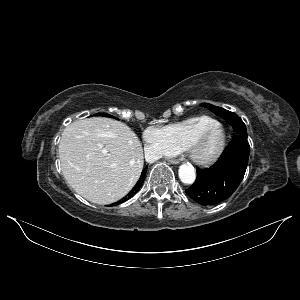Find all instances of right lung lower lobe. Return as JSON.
Here are the masks:
<instances>
[{
    "label": "right lung lower lobe",
    "mask_w": 300,
    "mask_h": 300,
    "mask_svg": "<svg viewBox=\"0 0 300 300\" xmlns=\"http://www.w3.org/2000/svg\"><path fill=\"white\" fill-rule=\"evenodd\" d=\"M146 171H147V167H145L144 168V170L142 171V174H141V176H140V178H139V180H138V182H139V184L142 186V184H143V181H144V179H145V175H146ZM137 182V183H138ZM136 186V185H135ZM134 186V187H135ZM134 187H133V189L127 194V196H125L123 199H121L120 201H118V202H116V203H114L115 205H117V204H120V203H123V202H125L126 200H128V199H130L132 196H134L136 193H135V191H134ZM138 192V191H137Z\"/></svg>",
    "instance_id": "98d812e1"
}]
</instances>
